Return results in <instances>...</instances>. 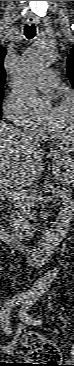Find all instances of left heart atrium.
Returning <instances> with one entry per match:
<instances>
[{"label": "left heart atrium", "instance_id": "left-heart-atrium-1", "mask_svg": "<svg viewBox=\"0 0 74 366\" xmlns=\"http://www.w3.org/2000/svg\"><path fill=\"white\" fill-rule=\"evenodd\" d=\"M57 114V107L56 108H52L50 111H48L40 120H39V124L41 125V127H43L44 129H49V127L51 126L55 116Z\"/></svg>", "mask_w": 74, "mask_h": 366}]
</instances>
